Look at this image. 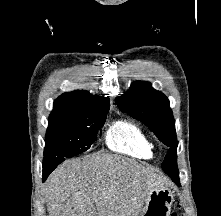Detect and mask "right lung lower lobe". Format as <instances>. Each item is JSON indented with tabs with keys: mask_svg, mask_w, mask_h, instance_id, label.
Listing matches in <instances>:
<instances>
[{
	"mask_svg": "<svg viewBox=\"0 0 221 216\" xmlns=\"http://www.w3.org/2000/svg\"><path fill=\"white\" fill-rule=\"evenodd\" d=\"M56 168V166H50L49 168H43V181L48 177V175Z\"/></svg>",
	"mask_w": 221,
	"mask_h": 216,
	"instance_id": "98d812e1",
	"label": "right lung lower lobe"
}]
</instances>
